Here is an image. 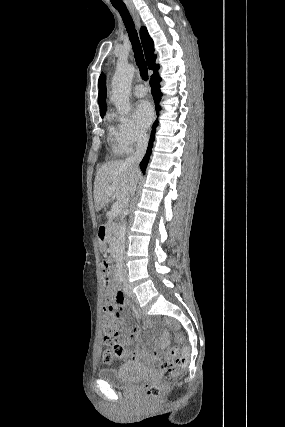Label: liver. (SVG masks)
<instances>
[{
	"instance_id": "liver-1",
	"label": "liver",
	"mask_w": 285,
	"mask_h": 427,
	"mask_svg": "<svg viewBox=\"0 0 285 427\" xmlns=\"http://www.w3.org/2000/svg\"><path fill=\"white\" fill-rule=\"evenodd\" d=\"M140 178V173L135 172L125 161L118 160L103 164L97 171L94 181V203L97 211L101 210L115 193L118 202L126 205L134 187ZM117 184L111 194L110 187Z\"/></svg>"
}]
</instances>
